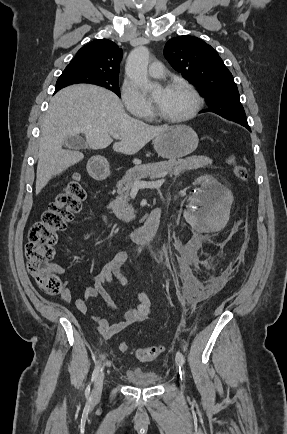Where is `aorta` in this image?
Returning a JSON list of instances; mask_svg holds the SVG:
<instances>
[{"mask_svg":"<svg viewBox=\"0 0 287 434\" xmlns=\"http://www.w3.org/2000/svg\"><path fill=\"white\" fill-rule=\"evenodd\" d=\"M149 50L145 46H138L128 56L125 71L130 80L143 90L153 89L152 82L147 76Z\"/></svg>","mask_w":287,"mask_h":434,"instance_id":"762f6f07","label":"aorta"}]
</instances>
